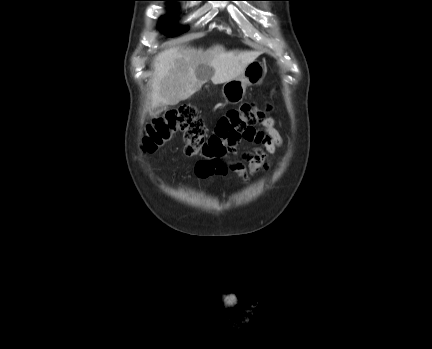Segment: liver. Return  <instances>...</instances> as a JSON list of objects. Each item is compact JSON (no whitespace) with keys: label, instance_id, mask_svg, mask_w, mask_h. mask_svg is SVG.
I'll return each mask as SVG.
<instances>
[{"label":"liver","instance_id":"liver-1","mask_svg":"<svg viewBox=\"0 0 432 349\" xmlns=\"http://www.w3.org/2000/svg\"><path fill=\"white\" fill-rule=\"evenodd\" d=\"M259 55L258 51H227L222 45L205 51L185 45L161 51L154 59L151 115L159 105H176L199 91L207 81L205 68L212 69L213 84H221L242 75Z\"/></svg>","mask_w":432,"mask_h":349}]
</instances>
